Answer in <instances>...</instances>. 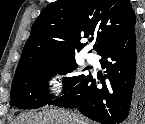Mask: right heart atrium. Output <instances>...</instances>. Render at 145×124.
Listing matches in <instances>:
<instances>
[{"instance_id":"1","label":"right heart atrium","mask_w":145,"mask_h":124,"mask_svg":"<svg viewBox=\"0 0 145 124\" xmlns=\"http://www.w3.org/2000/svg\"><path fill=\"white\" fill-rule=\"evenodd\" d=\"M65 83V77L62 73L55 71L49 78L47 88L51 93H59Z\"/></svg>"}]
</instances>
